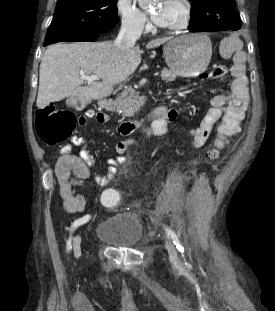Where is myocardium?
I'll return each instance as SVG.
<instances>
[{"mask_svg":"<svg viewBox=\"0 0 275 311\" xmlns=\"http://www.w3.org/2000/svg\"><path fill=\"white\" fill-rule=\"evenodd\" d=\"M180 7L182 8L183 16L181 21L178 24L171 25V26H162V28L166 31L171 32H179L186 29L191 21L192 18V9L189 0H175Z\"/></svg>","mask_w":275,"mask_h":311,"instance_id":"myocardium-1","label":"myocardium"}]
</instances>
